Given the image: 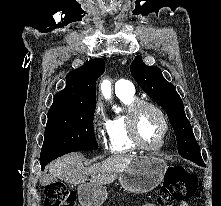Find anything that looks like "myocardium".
Listing matches in <instances>:
<instances>
[{
    "label": "myocardium",
    "instance_id": "f54148a6",
    "mask_svg": "<svg viewBox=\"0 0 221 206\" xmlns=\"http://www.w3.org/2000/svg\"><path fill=\"white\" fill-rule=\"evenodd\" d=\"M142 108H150L153 111H155L163 123V129H164L163 136H162L161 141L156 145H147L141 139L139 129H138V114ZM127 124H128L129 135L133 144L138 149H141L144 151L160 150L165 145L169 136V130H170L169 122L165 113L158 105L150 101H146V100L135 101L128 109Z\"/></svg>",
    "mask_w": 221,
    "mask_h": 206
}]
</instances>
